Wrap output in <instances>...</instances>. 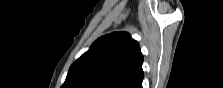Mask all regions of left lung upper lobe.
Listing matches in <instances>:
<instances>
[{"mask_svg": "<svg viewBox=\"0 0 223 88\" xmlns=\"http://www.w3.org/2000/svg\"><path fill=\"white\" fill-rule=\"evenodd\" d=\"M143 55L126 32L97 39L70 67L62 88H140Z\"/></svg>", "mask_w": 223, "mask_h": 88, "instance_id": "1", "label": "left lung upper lobe"}]
</instances>
